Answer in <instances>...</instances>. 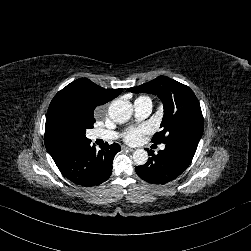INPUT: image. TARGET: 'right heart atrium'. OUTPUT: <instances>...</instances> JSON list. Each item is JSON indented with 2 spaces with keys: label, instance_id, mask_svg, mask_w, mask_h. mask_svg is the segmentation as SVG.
Returning a JSON list of instances; mask_svg holds the SVG:
<instances>
[{
  "label": "right heart atrium",
  "instance_id": "right-heart-atrium-1",
  "mask_svg": "<svg viewBox=\"0 0 251 251\" xmlns=\"http://www.w3.org/2000/svg\"><path fill=\"white\" fill-rule=\"evenodd\" d=\"M105 106H101L99 109H98V112L99 113H103L105 111Z\"/></svg>",
  "mask_w": 251,
  "mask_h": 251
}]
</instances>
